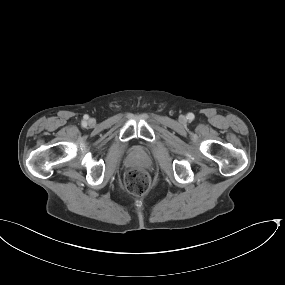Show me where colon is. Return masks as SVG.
I'll use <instances>...</instances> for the list:
<instances>
[{
    "label": "colon",
    "mask_w": 285,
    "mask_h": 285,
    "mask_svg": "<svg viewBox=\"0 0 285 285\" xmlns=\"http://www.w3.org/2000/svg\"><path fill=\"white\" fill-rule=\"evenodd\" d=\"M125 187L133 195L143 196L151 188V178L149 174L141 169H131L124 177Z\"/></svg>",
    "instance_id": "1"
}]
</instances>
